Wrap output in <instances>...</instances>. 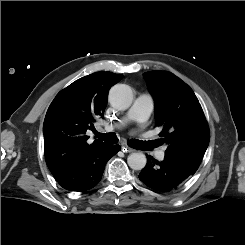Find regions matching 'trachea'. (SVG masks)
I'll list each match as a JSON object with an SVG mask.
<instances>
[{
    "label": "trachea",
    "instance_id": "1",
    "mask_svg": "<svg viewBox=\"0 0 245 245\" xmlns=\"http://www.w3.org/2000/svg\"><path fill=\"white\" fill-rule=\"evenodd\" d=\"M95 134H96L97 138H99V139H101L107 143H110V144L118 143V138H117L115 133L101 134V133L96 132ZM129 145L132 148L143 150V149H146L147 147H149L151 145V142L132 139V140H130Z\"/></svg>",
    "mask_w": 245,
    "mask_h": 245
}]
</instances>
